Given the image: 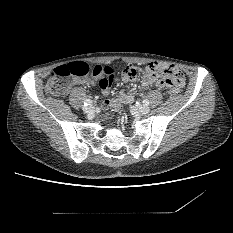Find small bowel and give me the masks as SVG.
Instances as JSON below:
<instances>
[{
  "label": "small bowel",
  "mask_w": 233,
  "mask_h": 233,
  "mask_svg": "<svg viewBox=\"0 0 233 233\" xmlns=\"http://www.w3.org/2000/svg\"><path fill=\"white\" fill-rule=\"evenodd\" d=\"M148 73L142 79V86L148 87L152 84H156L159 88L168 87L171 91L182 87L184 85V76L181 71L172 65H168L160 62H153L148 64ZM167 70V75L161 77L159 73ZM117 80V74L114 69L112 73L100 78L98 85L104 96H108L111 93V87L113 82ZM78 84H84L88 86L95 85V82L88 78L78 79ZM135 100V96L129 91H122L117 97L112 99H106L104 101L105 107H116L121 103H130Z\"/></svg>",
  "instance_id": "small-bowel-1"
}]
</instances>
